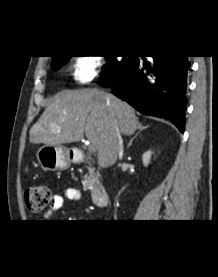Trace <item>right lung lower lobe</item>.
<instances>
[{
  "instance_id": "right-lung-lower-lobe-1",
  "label": "right lung lower lobe",
  "mask_w": 218,
  "mask_h": 277,
  "mask_svg": "<svg viewBox=\"0 0 218 277\" xmlns=\"http://www.w3.org/2000/svg\"><path fill=\"white\" fill-rule=\"evenodd\" d=\"M124 67L111 84L112 93L143 114L169 119L184 131L187 104V56H152Z\"/></svg>"
}]
</instances>
